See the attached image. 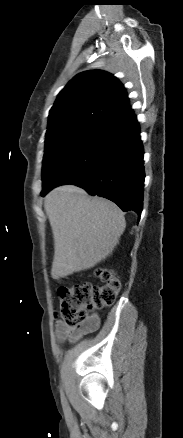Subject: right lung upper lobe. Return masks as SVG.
Masks as SVG:
<instances>
[{"instance_id":"1","label":"right lung upper lobe","mask_w":183,"mask_h":438,"mask_svg":"<svg viewBox=\"0 0 183 438\" xmlns=\"http://www.w3.org/2000/svg\"><path fill=\"white\" fill-rule=\"evenodd\" d=\"M130 109L125 88L116 77L101 70L82 72L59 93L46 134L76 126L99 128Z\"/></svg>"}]
</instances>
